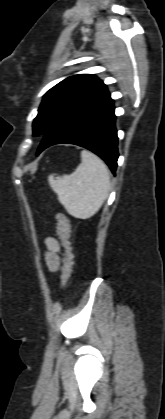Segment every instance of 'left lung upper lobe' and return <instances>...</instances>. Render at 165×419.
<instances>
[{"mask_svg":"<svg viewBox=\"0 0 165 419\" xmlns=\"http://www.w3.org/2000/svg\"><path fill=\"white\" fill-rule=\"evenodd\" d=\"M106 89V85L91 74L64 79L44 95L33 121V136H45L70 110Z\"/></svg>","mask_w":165,"mask_h":419,"instance_id":"left-lung-upper-lobe-1","label":"left lung upper lobe"}]
</instances>
